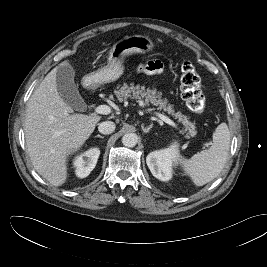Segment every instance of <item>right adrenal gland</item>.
I'll return each instance as SVG.
<instances>
[{"label":"right adrenal gland","mask_w":267,"mask_h":267,"mask_svg":"<svg viewBox=\"0 0 267 267\" xmlns=\"http://www.w3.org/2000/svg\"><path fill=\"white\" fill-rule=\"evenodd\" d=\"M96 137H98V138H104V136H102V135H100V134H98V135H96Z\"/></svg>","instance_id":"2a0ac1e0"}]
</instances>
